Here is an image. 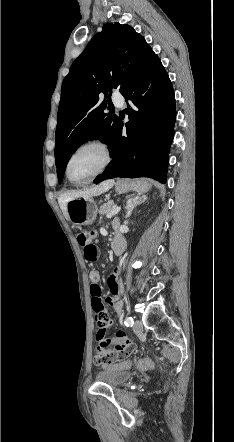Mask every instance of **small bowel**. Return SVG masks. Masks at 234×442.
<instances>
[{"instance_id":"c3829d8e","label":"small bowel","mask_w":234,"mask_h":442,"mask_svg":"<svg viewBox=\"0 0 234 442\" xmlns=\"http://www.w3.org/2000/svg\"><path fill=\"white\" fill-rule=\"evenodd\" d=\"M96 233L93 232V237ZM121 266H117L113 273L107 278V285L111 293V297L107 298L108 306L112 308L115 314H120L122 311V302L119 299L120 294L123 291V283L119 277ZM99 285V284H98ZM94 325L96 330V342L98 344V354L95 358L97 365H102L106 360L115 362L128 359L129 356L134 355L137 347L132 342H126L128 340L127 335L123 331H118L113 339H106L104 337L107 328L112 325L109 314H95ZM106 365H110V362H106Z\"/></svg>"}]
</instances>
